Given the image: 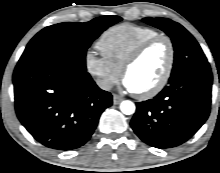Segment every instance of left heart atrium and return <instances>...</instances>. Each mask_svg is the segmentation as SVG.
I'll list each match as a JSON object with an SVG mask.
<instances>
[{"mask_svg": "<svg viewBox=\"0 0 220 173\" xmlns=\"http://www.w3.org/2000/svg\"><path fill=\"white\" fill-rule=\"evenodd\" d=\"M123 86L125 89H127L129 91H134L132 86L130 85V83L126 79H124Z\"/></svg>", "mask_w": 220, "mask_h": 173, "instance_id": "39dd6f15", "label": "left heart atrium"}]
</instances>
